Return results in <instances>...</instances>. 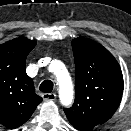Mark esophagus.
Wrapping results in <instances>:
<instances>
[{"mask_svg": "<svg viewBox=\"0 0 131 131\" xmlns=\"http://www.w3.org/2000/svg\"><path fill=\"white\" fill-rule=\"evenodd\" d=\"M44 101H54L56 99L55 93H44L42 95Z\"/></svg>", "mask_w": 131, "mask_h": 131, "instance_id": "obj_1", "label": "esophagus"}]
</instances>
